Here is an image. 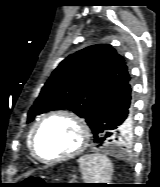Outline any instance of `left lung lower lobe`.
<instances>
[{
  "label": "left lung lower lobe",
  "instance_id": "0a47b994",
  "mask_svg": "<svg viewBox=\"0 0 160 187\" xmlns=\"http://www.w3.org/2000/svg\"><path fill=\"white\" fill-rule=\"evenodd\" d=\"M124 124L127 125L126 130L120 133L118 129ZM131 127V86L129 81L102 105L92 127L94 142L97 143V146L125 149L122 144Z\"/></svg>",
  "mask_w": 160,
  "mask_h": 187
}]
</instances>
